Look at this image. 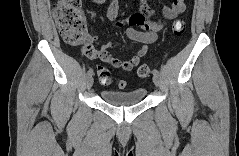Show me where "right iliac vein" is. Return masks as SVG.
<instances>
[{
	"label": "right iliac vein",
	"mask_w": 239,
	"mask_h": 156,
	"mask_svg": "<svg viewBox=\"0 0 239 156\" xmlns=\"http://www.w3.org/2000/svg\"><path fill=\"white\" fill-rule=\"evenodd\" d=\"M93 77L92 76H88L87 80H86V88L87 89H90L93 85Z\"/></svg>",
	"instance_id": "1"
}]
</instances>
